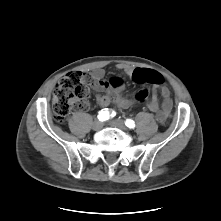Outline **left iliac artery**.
Instances as JSON below:
<instances>
[{
	"mask_svg": "<svg viewBox=\"0 0 221 221\" xmlns=\"http://www.w3.org/2000/svg\"><path fill=\"white\" fill-rule=\"evenodd\" d=\"M125 124H126V126H127L128 128H134V127H135V123H134V121L131 120V119H127V120L125 121Z\"/></svg>",
	"mask_w": 221,
	"mask_h": 221,
	"instance_id": "obj_1",
	"label": "left iliac artery"
}]
</instances>
